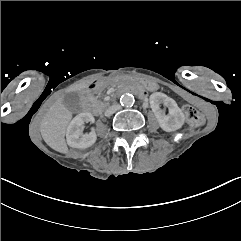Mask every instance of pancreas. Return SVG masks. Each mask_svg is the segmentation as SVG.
Segmentation results:
<instances>
[{
    "label": "pancreas",
    "mask_w": 241,
    "mask_h": 241,
    "mask_svg": "<svg viewBox=\"0 0 241 241\" xmlns=\"http://www.w3.org/2000/svg\"><path fill=\"white\" fill-rule=\"evenodd\" d=\"M90 101H91L93 107L98 108L99 111L103 110L109 104L108 102H106V103L100 102V105L96 106V103H95L96 99L93 97L90 98Z\"/></svg>",
    "instance_id": "pancreas-1"
}]
</instances>
